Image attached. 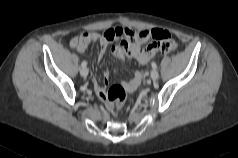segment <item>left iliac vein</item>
I'll return each mask as SVG.
<instances>
[{
	"instance_id": "obj_1",
	"label": "left iliac vein",
	"mask_w": 238,
	"mask_h": 158,
	"mask_svg": "<svg viewBox=\"0 0 238 158\" xmlns=\"http://www.w3.org/2000/svg\"><path fill=\"white\" fill-rule=\"evenodd\" d=\"M150 77L152 80H157L159 77V73L156 69H153L150 73Z\"/></svg>"
}]
</instances>
